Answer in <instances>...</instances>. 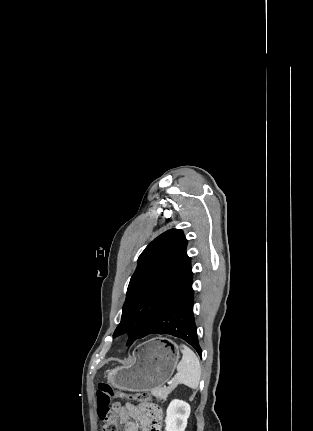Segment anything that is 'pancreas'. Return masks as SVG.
I'll return each instance as SVG.
<instances>
[{"mask_svg": "<svg viewBox=\"0 0 313 431\" xmlns=\"http://www.w3.org/2000/svg\"><path fill=\"white\" fill-rule=\"evenodd\" d=\"M177 386V383H171L168 387L156 388L151 391L152 395L158 398L159 400H165L168 395L174 390Z\"/></svg>", "mask_w": 313, "mask_h": 431, "instance_id": "cf45deb5", "label": "pancreas"}]
</instances>
